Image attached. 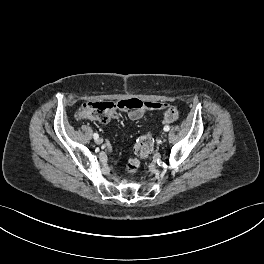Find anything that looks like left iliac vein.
I'll list each match as a JSON object with an SVG mask.
<instances>
[{"label": "left iliac vein", "mask_w": 264, "mask_h": 264, "mask_svg": "<svg viewBox=\"0 0 264 264\" xmlns=\"http://www.w3.org/2000/svg\"><path fill=\"white\" fill-rule=\"evenodd\" d=\"M167 140H168V137L167 136H164L163 137V140L161 141L163 144H166L167 143Z\"/></svg>", "instance_id": "left-iliac-vein-1"}]
</instances>
